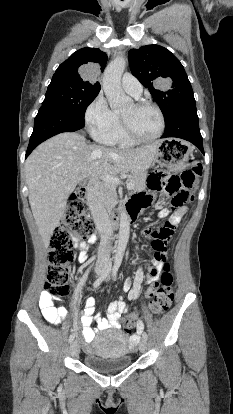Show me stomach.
I'll use <instances>...</instances> for the list:
<instances>
[{
	"mask_svg": "<svg viewBox=\"0 0 233 414\" xmlns=\"http://www.w3.org/2000/svg\"><path fill=\"white\" fill-rule=\"evenodd\" d=\"M190 154L187 143L173 138L163 139L157 142L154 161L171 171L180 172L186 168Z\"/></svg>",
	"mask_w": 233,
	"mask_h": 414,
	"instance_id": "1",
	"label": "stomach"
}]
</instances>
